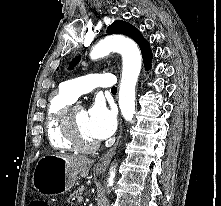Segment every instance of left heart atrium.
Masks as SVG:
<instances>
[{
    "label": "left heart atrium",
    "instance_id": "left-heart-atrium-1",
    "mask_svg": "<svg viewBox=\"0 0 221 206\" xmlns=\"http://www.w3.org/2000/svg\"><path fill=\"white\" fill-rule=\"evenodd\" d=\"M116 125L114 112L101 102H96L87 112L88 131L94 139L110 137Z\"/></svg>",
    "mask_w": 221,
    "mask_h": 206
}]
</instances>
